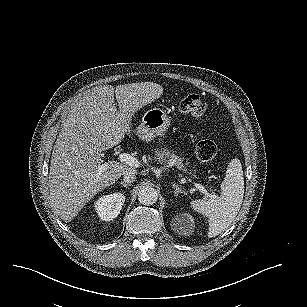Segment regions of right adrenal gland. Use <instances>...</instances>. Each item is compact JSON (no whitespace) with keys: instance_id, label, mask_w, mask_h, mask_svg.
<instances>
[{"instance_id":"obj_1","label":"right adrenal gland","mask_w":307,"mask_h":307,"mask_svg":"<svg viewBox=\"0 0 307 307\" xmlns=\"http://www.w3.org/2000/svg\"><path fill=\"white\" fill-rule=\"evenodd\" d=\"M120 183H121V185H122L123 187H125V188H127V187H129V186L131 185V184L125 183L124 181H121Z\"/></svg>"}]
</instances>
